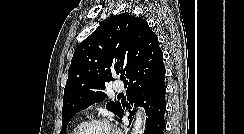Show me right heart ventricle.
I'll list each match as a JSON object with an SVG mask.
<instances>
[{
  "mask_svg": "<svg viewBox=\"0 0 244 134\" xmlns=\"http://www.w3.org/2000/svg\"><path fill=\"white\" fill-rule=\"evenodd\" d=\"M80 124H76L73 126V128L71 129L70 133L69 134H74L75 130L77 129V127L79 126Z\"/></svg>",
  "mask_w": 244,
  "mask_h": 134,
  "instance_id": "right-heart-ventricle-1",
  "label": "right heart ventricle"
}]
</instances>
